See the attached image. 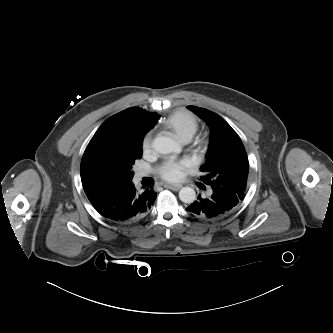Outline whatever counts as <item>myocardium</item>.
<instances>
[{
  "mask_svg": "<svg viewBox=\"0 0 333 333\" xmlns=\"http://www.w3.org/2000/svg\"><path fill=\"white\" fill-rule=\"evenodd\" d=\"M205 147H206V141H201L200 143H199V146H198V148L195 150V153H196V155L198 156V157H202V151L205 149Z\"/></svg>",
  "mask_w": 333,
  "mask_h": 333,
  "instance_id": "f54148a6",
  "label": "myocardium"
}]
</instances>
